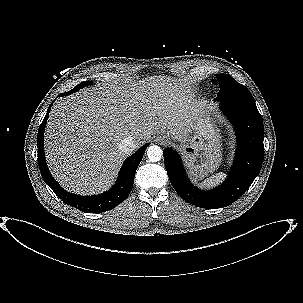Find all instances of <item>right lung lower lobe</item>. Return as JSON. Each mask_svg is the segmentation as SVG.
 I'll use <instances>...</instances> for the list:
<instances>
[{"instance_id": "1", "label": "right lung lower lobe", "mask_w": 303, "mask_h": 303, "mask_svg": "<svg viewBox=\"0 0 303 303\" xmlns=\"http://www.w3.org/2000/svg\"><path fill=\"white\" fill-rule=\"evenodd\" d=\"M65 95L68 94L62 93L57 97ZM52 105L53 103L50 104L47 114L39 126L37 135L38 164L43 180L51 187V189L63 202L82 211L99 213L115 208L130 194L133 187L135 172L143 158L148 144L143 145L133 155L129 156L124 161L120 169L116 184L109 191L94 196H79L69 193L65 191L52 177L45 160L43 138L45 126Z\"/></svg>"}]
</instances>
